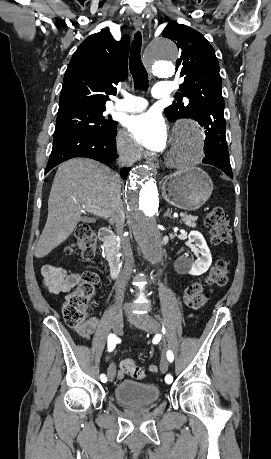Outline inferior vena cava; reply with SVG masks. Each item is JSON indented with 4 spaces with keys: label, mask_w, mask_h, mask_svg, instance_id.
<instances>
[{
    "label": "inferior vena cava",
    "mask_w": 271,
    "mask_h": 459,
    "mask_svg": "<svg viewBox=\"0 0 271 459\" xmlns=\"http://www.w3.org/2000/svg\"><path fill=\"white\" fill-rule=\"evenodd\" d=\"M118 164L120 168H124V166H131V162H127V160H121L119 158ZM120 176H116V180H118L117 184H113V192H111V202H110V210L109 214H111L112 222L118 224V226H123L125 216L123 212L122 200L120 198ZM126 281L125 279H120L119 283H117L116 287V299H122L123 293L125 291Z\"/></svg>",
    "instance_id": "602c4592"
}]
</instances>
